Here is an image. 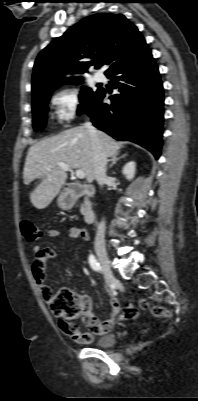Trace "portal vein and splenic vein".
Listing matches in <instances>:
<instances>
[{
    "label": "portal vein and splenic vein",
    "mask_w": 198,
    "mask_h": 401,
    "mask_svg": "<svg viewBox=\"0 0 198 401\" xmlns=\"http://www.w3.org/2000/svg\"><path fill=\"white\" fill-rule=\"evenodd\" d=\"M57 165L59 167H61L64 171H71L70 166H68L64 162H57ZM47 170H50V168H47ZM75 174H76V177L79 179L85 178V173L82 170H76Z\"/></svg>",
    "instance_id": "obj_1"
}]
</instances>
